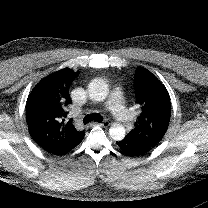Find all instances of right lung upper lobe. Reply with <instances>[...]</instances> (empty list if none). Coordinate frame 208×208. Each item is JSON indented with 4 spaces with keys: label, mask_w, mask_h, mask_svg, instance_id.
Listing matches in <instances>:
<instances>
[{
    "label": "right lung upper lobe",
    "mask_w": 208,
    "mask_h": 208,
    "mask_svg": "<svg viewBox=\"0 0 208 208\" xmlns=\"http://www.w3.org/2000/svg\"><path fill=\"white\" fill-rule=\"evenodd\" d=\"M78 74L69 68L56 71L43 78L28 97L26 121L29 133L48 152L85 134L77 131L72 120H68L69 88Z\"/></svg>",
    "instance_id": "obj_1"
}]
</instances>
